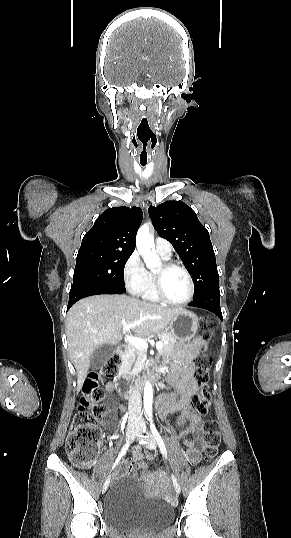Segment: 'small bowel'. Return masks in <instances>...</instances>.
<instances>
[{"mask_svg": "<svg viewBox=\"0 0 291 538\" xmlns=\"http://www.w3.org/2000/svg\"><path fill=\"white\" fill-rule=\"evenodd\" d=\"M197 345L189 346L172 363L168 380L177 390L179 397L173 393H165L159 395L157 400V408L161 416H168L180 411V416L177 418L176 424L179 427H184L180 433V439L184 444L186 456L192 465H196L201 459L205 427L201 416L188 407L191 398L198 390L197 383L192 377V357L197 350ZM116 387V381H112L106 386L108 393L106 406L108 412L104 424L108 428L114 427L115 416L125 411V406L112 396ZM189 434L192 435V438L187 437ZM133 457L135 460L141 458V449L139 446L134 447Z\"/></svg>", "mask_w": 291, "mask_h": 538, "instance_id": "small-bowel-1", "label": "small bowel"}]
</instances>
